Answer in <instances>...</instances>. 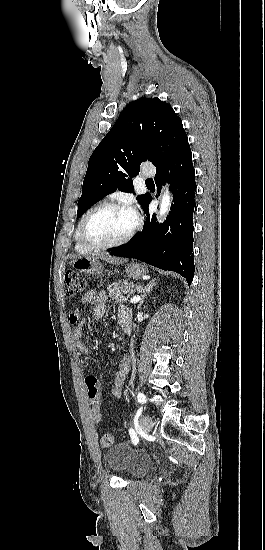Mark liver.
Returning a JSON list of instances; mask_svg holds the SVG:
<instances>
[{
  "label": "liver",
  "mask_w": 265,
  "mask_h": 550,
  "mask_svg": "<svg viewBox=\"0 0 265 550\" xmlns=\"http://www.w3.org/2000/svg\"><path fill=\"white\" fill-rule=\"evenodd\" d=\"M100 258H101V259H104V260H107V261H109V262H111V263H113V264H121V263H123V260H121V259L108 258V257H105V256H103V255H100Z\"/></svg>",
  "instance_id": "1"
}]
</instances>
